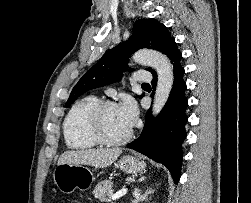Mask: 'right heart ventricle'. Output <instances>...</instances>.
I'll use <instances>...</instances> for the list:
<instances>
[{
    "mask_svg": "<svg viewBox=\"0 0 251 203\" xmlns=\"http://www.w3.org/2000/svg\"><path fill=\"white\" fill-rule=\"evenodd\" d=\"M98 102L96 96H85L68 110L63 122V135L69 148L87 150L99 144L87 130L88 115Z\"/></svg>",
    "mask_w": 251,
    "mask_h": 203,
    "instance_id": "right-heart-ventricle-1",
    "label": "right heart ventricle"
}]
</instances>
